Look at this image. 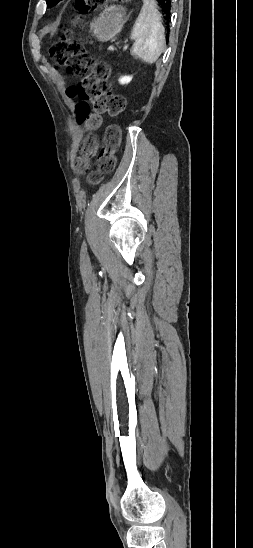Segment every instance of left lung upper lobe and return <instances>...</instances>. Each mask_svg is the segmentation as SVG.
Instances as JSON below:
<instances>
[{
  "instance_id": "5c2ea615",
  "label": "left lung upper lobe",
  "mask_w": 253,
  "mask_h": 548,
  "mask_svg": "<svg viewBox=\"0 0 253 548\" xmlns=\"http://www.w3.org/2000/svg\"><path fill=\"white\" fill-rule=\"evenodd\" d=\"M60 0H46L47 2V7H52L54 5H56Z\"/></svg>"
}]
</instances>
